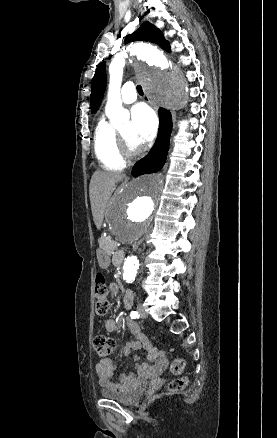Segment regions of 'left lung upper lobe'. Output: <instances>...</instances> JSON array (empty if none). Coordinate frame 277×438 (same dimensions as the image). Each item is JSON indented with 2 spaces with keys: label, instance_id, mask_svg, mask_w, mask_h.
Returning <instances> with one entry per match:
<instances>
[{
  "label": "left lung upper lobe",
  "instance_id": "left-lung-upper-lobe-1",
  "mask_svg": "<svg viewBox=\"0 0 277 438\" xmlns=\"http://www.w3.org/2000/svg\"><path fill=\"white\" fill-rule=\"evenodd\" d=\"M132 41H147L158 44L166 51H170L168 42L162 32L149 22H144L140 28L131 35L125 37V43ZM106 85L105 62L97 65L95 75L91 81V112L95 113L99 108Z\"/></svg>",
  "mask_w": 277,
  "mask_h": 438
}]
</instances>
